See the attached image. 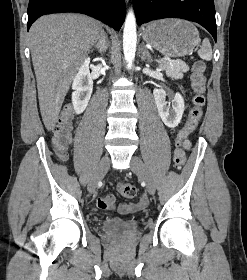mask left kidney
I'll return each instance as SVG.
<instances>
[{"mask_svg": "<svg viewBox=\"0 0 247 280\" xmlns=\"http://www.w3.org/2000/svg\"><path fill=\"white\" fill-rule=\"evenodd\" d=\"M153 96L157 105L159 115L164 124L169 128L178 126L185 110L184 99L180 93H176L172 105L166 101V93L160 85H156Z\"/></svg>", "mask_w": 247, "mask_h": 280, "instance_id": "5707ae66", "label": "left kidney"}]
</instances>
